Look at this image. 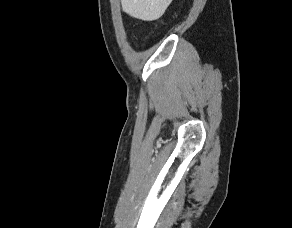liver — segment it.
I'll return each mask as SVG.
<instances>
[{"instance_id": "6515ba94", "label": "liver", "mask_w": 292, "mask_h": 228, "mask_svg": "<svg viewBox=\"0 0 292 228\" xmlns=\"http://www.w3.org/2000/svg\"><path fill=\"white\" fill-rule=\"evenodd\" d=\"M171 2L172 0H121L125 13L143 21L159 19Z\"/></svg>"}]
</instances>
